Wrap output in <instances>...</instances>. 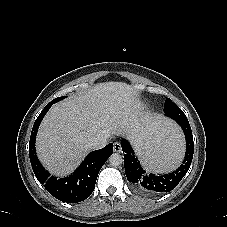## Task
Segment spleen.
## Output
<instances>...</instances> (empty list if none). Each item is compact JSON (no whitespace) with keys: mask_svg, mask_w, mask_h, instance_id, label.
I'll use <instances>...</instances> for the list:
<instances>
[{"mask_svg":"<svg viewBox=\"0 0 227 227\" xmlns=\"http://www.w3.org/2000/svg\"><path fill=\"white\" fill-rule=\"evenodd\" d=\"M130 134L134 140L131 152L147 170L169 171L180 163L184 142L180 130L170 120L158 115L139 118L132 124Z\"/></svg>","mask_w":227,"mask_h":227,"instance_id":"obj_1","label":"spleen"}]
</instances>
